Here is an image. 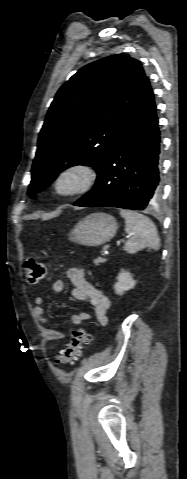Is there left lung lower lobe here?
<instances>
[{
	"instance_id": "1",
	"label": "left lung lower lobe",
	"mask_w": 187,
	"mask_h": 479,
	"mask_svg": "<svg viewBox=\"0 0 187 479\" xmlns=\"http://www.w3.org/2000/svg\"><path fill=\"white\" fill-rule=\"evenodd\" d=\"M160 142L154 94L145 77L93 189L73 205L145 209L160 194Z\"/></svg>"
}]
</instances>
